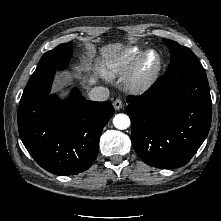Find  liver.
Wrapping results in <instances>:
<instances>
[{
    "mask_svg": "<svg viewBox=\"0 0 221 221\" xmlns=\"http://www.w3.org/2000/svg\"><path fill=\"white\" fill-rule=\"evenodd\" d=\"M118 50H119L118 45H109L107 47H104L102 49V57L106 59V61H110L111 58L116 57ZM71 79H72V75L70 73H64V74L58 75L56 78L54 88H61L66 83L71 81ZM95 82H96L95 78L92 77L89 79V84L92 85Z\"/></svg>",
    "mask_w": 221,
    "mask_h": 221,
    "instance_id": "1",
    "label": "liver"
}]
</instances>
